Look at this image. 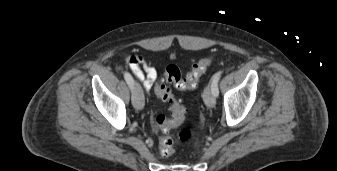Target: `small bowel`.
Returning <instances> with one entry per match:
<instances>
[{
	"instance_id": "c3829d8e",
	"label": "small bowel",
	"mask_w": 337,
	"mask_h": 171,
	"mask_svg": "<svg viewBox=\"0 0 337 171\" xmlns=\"http://www.w3.org/2000/svg\"><path fill=\"white\" fill-rule=\"evenodd\" d=\"M136 78L143 84L146 92H149L158 79V72L154 66L145 61L140 55H133L127 59Z\"/></svg>"
}]
</instances>
